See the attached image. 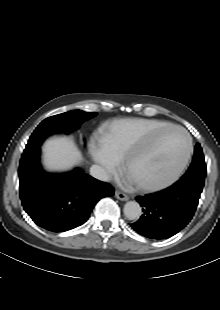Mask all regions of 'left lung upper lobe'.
Returning <instances> with one entry per match:
<instances>
[{"mask_svg": "<svg viewBox=\"0 0 220 310\" xmlns=\"http://www.w3.org/2000/svg\"><path fill=\"white\" fill-rule=\"evenodd\" d=\"M206 176V164L204 155L199 143L196 144L194 150V157L187 172L180 178L178 182L181 183H196L201 186L204 185Z\"/></svg>", "mask_w": 220, "mask_h": 310, "instance_id": "1", "label": "left lung upper lobe"}]
</instances>
